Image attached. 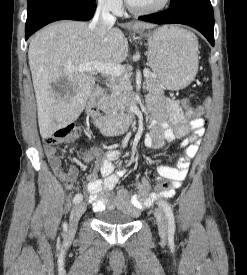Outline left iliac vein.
<instances>
[{
  "label": "left iliac vein",
  "mask_w": 247,
  "mask_h": 275,
  "mask_svg": "<svg viewBox=\"0 0 247 275\" xmlns=\"http://www.w3.org/2000/svg\"><path fill=\"white\" fill-rule=\"evenodd\" d=\"M154 216L157 222L159 234L162 238L166 239L168 235L167 219L165 214L160 209H155Z\"/></svg>",
  "instance_id": "1"
}]
</instances>
